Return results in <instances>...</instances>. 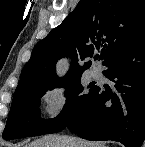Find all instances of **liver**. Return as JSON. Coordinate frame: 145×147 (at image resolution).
Returning <instances> with one entry per match:
<instances>
[{"instance_id":"liver-1","label":"liver","mask_w":145,"mask_h":147,"mask_svg":"<svg viewBox=\"0 0 145 147\" xmlns=\"http://www.w3.org/2000/svg\"><path fill=\"white\" fill-rule=\"evenodd\" d=\"M26 147H106L97 142H87L80 138L59 135H46L32 141Z\"/></svg>"}]
</instances>
